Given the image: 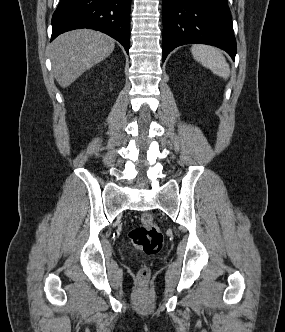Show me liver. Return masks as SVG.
<instances>
[{"mask_svg":"<svg viewBox=\"0 0 285 332\" xmlns=\"http://www.w3.org/2000/svg\"><path fill=\"white\" fill-rule=\"evenodd\" d=\"M114 47V39L91 29L61 34L50 46L55 79L61 87H68L85 71L106 59Z\"/></svg>","mask_w":285,"mask_h":332,"instance_id":"obj_1","label":"liver"}]
</instances>
